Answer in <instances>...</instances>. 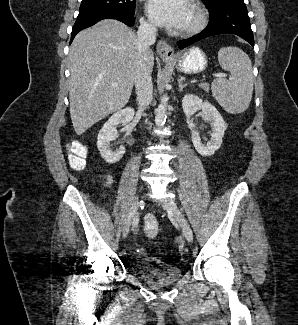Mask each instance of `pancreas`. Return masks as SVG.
I'll list each match as a JSON object with an SVG mask.
<instances>
[{
    "label": "pancreas",
    "instance_id": "obj_1",
    "mask_svg": "<svg viewBox=\"0 0 298 325\" xmlns=\"http://www.w3.org/2000/svg\"><path fill=\"white\" fill-rule=\"evenodd\" d=\"M200 88H203V90H206V92H209L210 90V84L209 82H201V84H199Z\"/></svg>",
    "mask_w": 298,
    "mask_h": 325
}]
</instances>
